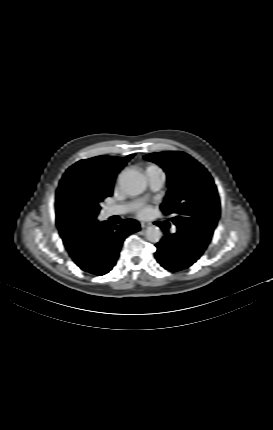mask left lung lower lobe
Returning <instances> with one entry per match:
<instances>
[{"label": "left lung lower lobe", "mask_w": 273, "mask_h": 430, "mask_svg": "<svg viewBox=\"0 0 273 430\" xmlns=\"http://www.w3.org/2000/svg\"><path fill=\"white\" fill-rule=\"evenodd\" d=\"M164 231V236L157 247L155 257L165 269L180 271L196 262L206 249L187 229L178 227L176 233L171 234L162 224H158Z\"/></svg>", "instance_id": "left-lung-lower-lobe-1"}]
</instances>
